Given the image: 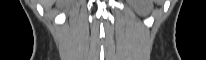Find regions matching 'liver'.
Here are the masks:
<instances>
[{
  "instance_id": "6515ba94",
  "label": "liver",
  "mask_w": 206,
  "mask_h": 60,
  "mask_svg": "<svg viewBox=\"0 0 206 60\" xmlns=\"http://www.w3.org/2000/svg\"><path fill=\"white\" fill-rule=\"evenodd\" d=\"M53 1H54V0H53ZM66 2H68V1H63V0L57 1L58 4H63V3H66Z\"/></svg>"
}]
</instances>
